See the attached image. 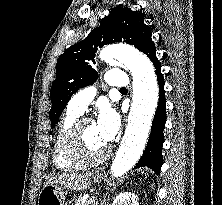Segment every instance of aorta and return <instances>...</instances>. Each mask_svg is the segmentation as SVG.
Returning a JSON list of instances; mask_svg holds the SVG:
<instances>
[{
  "mask_svg": "<svg viewBox=\"0 0 222 205\" xmlns=\"http://www.w3.org/2000/svg\"><path fill=\"white\" fill-rule=\"evenodd\" d=\"M101 57L108 63L126 67L134 78L128 125L110 165V175L119 178L137 163L146 149L158 105L159 87L152 62L134 47L109 45L102 50Z\"/></svg>",
  "mask_w": 222,
  "mask_h": 205,
  "instance_id": "obj_1",
  "label": "aorta"
}]
</instances>
